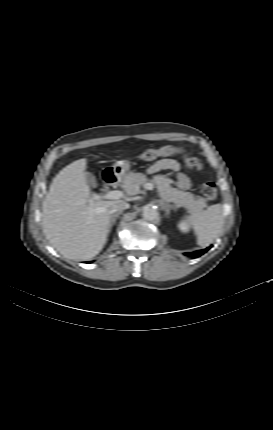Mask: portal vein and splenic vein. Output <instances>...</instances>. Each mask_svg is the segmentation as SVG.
<instances>
[{"label":"portal vein and splenic vein","instance_id":"obj_1","mask_svg":"<svg viewBox=\"0 0 273 430\" xmlns=\"http://www.w3.org/2000/svg\"><path fill=\"white\" fill-rule=\"evenodd\" d=\"M144 188L147 190H153V184L152 183H146L144 184ZM124 197V193L119 190L109 191L105 195H94L90 201L93 200H99V199H120ZM162 199H165V197L162 196Z\"/></svg>","mask_w":273,"mask_h":430}]
</instances>
